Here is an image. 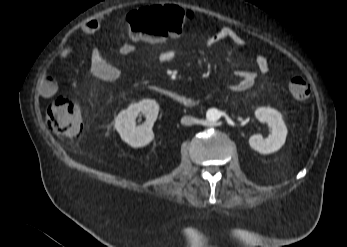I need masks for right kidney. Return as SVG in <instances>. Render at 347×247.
I'll return each instance as SVG.
<instances>
[{
  "instance_id": "1",
  "label": "right kidney",
  "mask_w": 347,
  "mask_h": 247,
  "mask_svg": "<svg viewBox=\"0 0 347 247\" xmlns=\"http://www.w3.org/2000/svg\"><path fill=\"white\" fill-rule=\"evenodd\" d=\"M146 117L144 124L137 126L136 118L139 113ZM159 113V105L155 100L144 99L131 104L122 110L115 119V129L122 140L130 146L137 148L149 144L154 137L152 127Z\"/></svg>"
}]
</instances>
